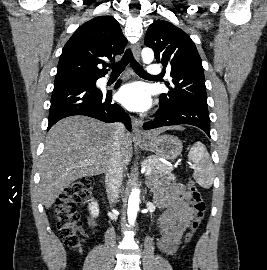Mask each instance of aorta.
Instances as JSON below:
<instances>
[{
  "mask_svg": "<svg viewBox=\"0 0 267 270\" xmlns=\"http://www.w3.org/2000/svg\"><path fill=\"white\" fill-rule=\"evenodd\" d=\"M142 60L145 64H150L154 59L153 50L150 48H144L141 52ZM139 202H140V190L135 188L132 190L129 199H128V222L130 225H134L137 212L139 210Z\"/></svg>",
  "mask_w": 267,
  "mask_h": 270,
  "instance_id": "aorta-1",
  "label": "aorta"
}]
</instances>
